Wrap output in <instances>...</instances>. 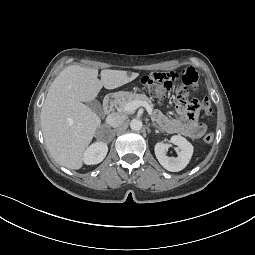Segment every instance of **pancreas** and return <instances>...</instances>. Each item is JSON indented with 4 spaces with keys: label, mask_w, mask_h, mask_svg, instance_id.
I'll list each match as a JSON object with an SVG mask.
<instances>
[{
    "label": "pancreas",
    "mask_w": 255,
    "mask_h": 255,
    "mask_svg": "<svg viewBox=\"0 0 255 255\" xmlns=\"http://www.w3.org/2000/svg\"><path fill=\"white\" fill-rule=\"evenodd\" d=\"M134 100L146 102L151 106V108H153L154 106L151 100L145 94H136V93H130L126 96H122L117 99L116 103L121 109H123L127 103Z\"/></svg>",
    "instance_id": "cf45deb5"
}]
</instances>
